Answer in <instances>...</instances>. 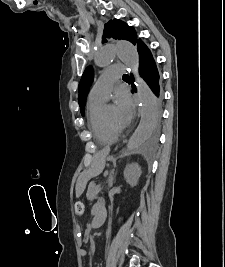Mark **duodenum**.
<instances>
[{"instance_id":"obj_1","label":"duodenum","mask_w":225,"mask_h":267,"mask_svg":"<svg viewBox=\"0 0 225 267\" xmlns=\"http://www.w3.org/2000/svg\"><path fill=\"white\" fill-rule=\"evenodd\" d=\"M105 215H106V211H105V213H103L102 211L98 212L97 216L92 221L93 228H98L101 225H103V223L105 221Z\"/></svg>"}]
</instances>
